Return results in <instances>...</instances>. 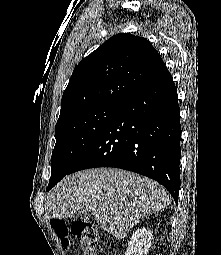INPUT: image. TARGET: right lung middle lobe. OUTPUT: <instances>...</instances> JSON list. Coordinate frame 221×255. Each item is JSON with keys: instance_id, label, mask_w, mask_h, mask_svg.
<instances>
[{"instance_id": "dd1d6c3e", "label": "right lung middle lobe", "mask_w": 221, "mask_h": 255, "mask_svg": "<svg viewBox=\"0 0 221 255\" xmlns=\"http://www.w3.org/2000/svg\"><path fill=\"white\" fill-rule=\"evenodd\" d=\"M120 103H105L76 111L57 122L52 152L51 178L55 186L98 138Z\"/></svg>"}]
</instances>
